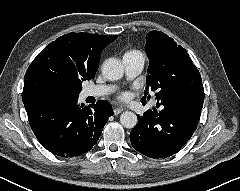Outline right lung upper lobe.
Listing matches in <instances>:
<instances>
[{
    "label": "right lung upper lobe",
    "mask_w": 240,
    "mask_h": 191,
    "mask_svg": "<svg viewBox=\"0 0 240 191\" xmlns=\"http://www.w3.org/2000/svg\"><path fill=\"white\" fill-rule=\"evenodd\" d=\"M117 35L68 33L45 47L30 64L22 93L23 103L55 93L73 94L84 80L93 79L101 51Z\"/></svg>",
    "instance_id": "1"
}]
</instances>
